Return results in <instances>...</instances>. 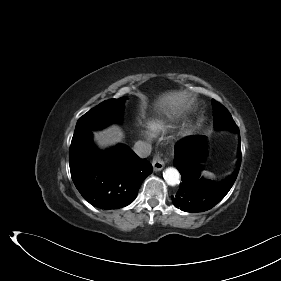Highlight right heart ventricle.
<instances>
[{
  "label": "right heart ventricle",
  "instance_id": "1",
  "mask_svg": "<svg viewBox=\"0 0 281 281\" xmlns=\"http://www.w3.org/2000/svg\"><path fill=\"white\" fill-rule=\"evenodd\" d=\"M168 126L160 121H154L149 124L150 134L152 136H157L161 133H164L167 130Z\"/></svg>",
  "mask_w": 281,
  "mask_h": 281
}]
</instances>
